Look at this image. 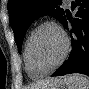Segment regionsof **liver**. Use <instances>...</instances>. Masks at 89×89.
<instances>
[{"mask_svg":"<svg viewBox=\"0 0 89 89\" xmlns=\"http://www.w3.org/2000/svg\"><path fill=\"white\" fill-rule=\"evenodd\" d=\"M59 82L58 78H49V79H45L37 84L32 85L30 89H34L33 87H35V89H39V88H47L51 85L57 84Z\"/></svg>","mask_w":89,"mask_h":89,"instance_id":"liver-1","label":"liver"}]
</instances>
